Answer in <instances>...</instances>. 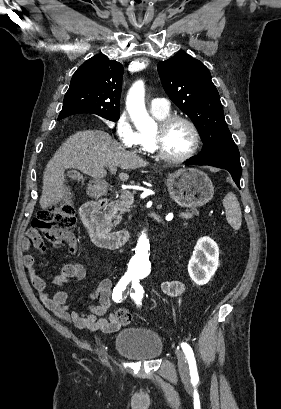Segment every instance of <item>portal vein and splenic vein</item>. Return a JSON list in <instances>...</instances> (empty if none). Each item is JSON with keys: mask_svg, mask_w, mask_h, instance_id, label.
<instances>
[{"mask_svg": "<svg viewBox=\"0 0 281 409\" xmlns=\"http://www.w3.org/2000/svg\"><path fill=\"white\" fill-rule=\"evenodd\" d=\"M111 170H115V168H111ZM123 194L127 195L128 191L124 190ZM124 200H125V206L126 207H131L133 205V202H132L133 198L131 196H129V195L126 196ZM191 216H192V213H190V212H183L182 215H180V217H183V219H190Z\"/></svg>", "mask_w": 281, "mask_h": 409, "instance_id": "obj_1", "label": "portal vein and splenic vein"}]
</instances>
